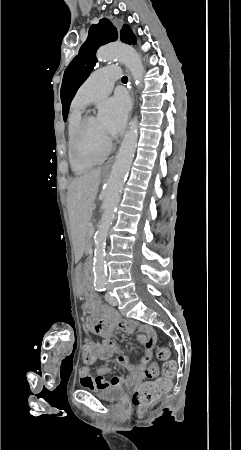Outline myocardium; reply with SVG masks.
<instances>
[{
	"label": "myocardium",
	"mask_w": 241,
	"mask_h": 450,
	"mask_svg": "<svg viewBox=\"0 0 241 450\" xmlns=\"http://www.w3.org/2000/svg\"><path fill=\"white\" fill-rule=\"evenodd\" d=\"M89 118L90 117L88 115L81 116L74 124V127H73L74 135H72L70 137V142L72 143V144H70V149H73L74 157H75L74 160L77 163L82 162V158H83V156H85L83 153L80 152L78 145L80 143V137H82V134L84 133V129H82V127L84 126V123L86 121H88ZM98 158H101V157H98ZM93 161H94V158H93Z\"/></svg>",
	"instance_id": "f54148a6"
}]
</instances>
